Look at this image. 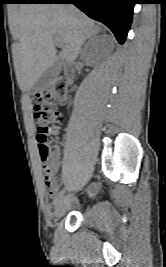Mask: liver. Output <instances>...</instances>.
<instances>
[{
    "label": "liver",
    "mask_w": 166,
    "mask_h": 267,
    "mask_svg": "<svg viewBox=\"0 0 166 267\" xmlns=\"http://www.w3.org/2000/svg\"><path fill=\"white\" fill-rule=\"evenodd\" d=\"M100 28L72 4H23L16 13L13 34L15 70L22 90H31L42 73L56 60L55 37L63 47L59 57L73 62L86 39Z\"/></svg>",
    "instance_id": "6515ba94"
}]
</instances>
